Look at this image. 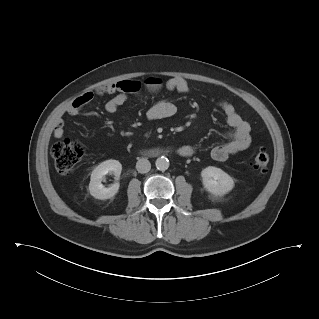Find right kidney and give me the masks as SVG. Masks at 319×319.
I'll return each mask as SVG.
<instances>
[{"mask_svg":"<svg viewBox=\"0 0 319 319\" xmlns=\"http://www.w3.org/2000/svg\"><path fill=\"white\" fill-rule=\"evenodd\" d=\"M122 165L117 160H106L100 163L91 173L89 183L90 194L100 200L113 197L119 190V183H114L111 187L106 188L101 182L103 177L108 173H114L117 179L120 177Z\"/></svg>","mask_w":319,"mask_h":319,"instance_id":"obj_1","label":"right kidney"}]
</instances>
